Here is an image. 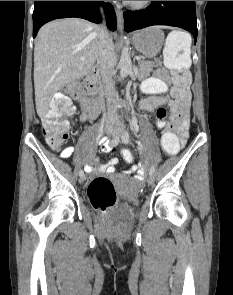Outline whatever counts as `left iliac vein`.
Returning <instances> with one entry per match:
<instances>
[{
  "label": "left iliac vein",
  "mask_w": 233,
  "mask_h": 295,
  "mask_svg": "<svg viewBox=\"0 0 233 295\" xmlns=\"http://www.w3.org/2000/svg\"><path fill=\"white\" fill-rule=\"evenodd\" d=\"M123 134L124 133H123L122 129H116L114 137L119 138V137H122ZM147 182H148V184H152L154 182V177L151 174L147 177Z\"/></svg>",
  "instance_id": "left-iliac-vein-1"
}]
</instances>
